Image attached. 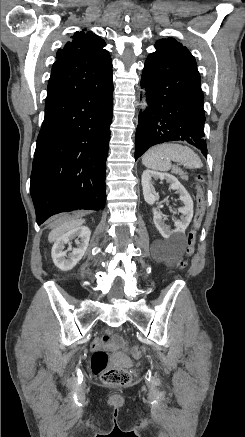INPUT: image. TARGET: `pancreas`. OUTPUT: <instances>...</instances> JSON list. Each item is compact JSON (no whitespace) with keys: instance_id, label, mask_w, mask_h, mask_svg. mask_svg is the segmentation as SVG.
Here are the masks:
<instances>
[{"instance_id":"1","label":"pancreas","mask_w":245,"mask_h":437,"mask_svg":"<svg viewBox=\"0 0 245 437\" xmlns=\"http://www.w3.org/2000/svg\"><path fill=\"white\" fill-rule=\"evenodd\" d=\"M174 173L180 175L181 179H183V180H187V175H186V173H184L182 170H180V169H175V170H174Z\"/></svg>"}]
</instances>
